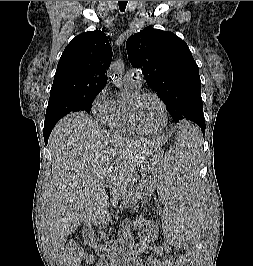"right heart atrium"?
I'll use <instances>...</instances> for the list:
<instances>
[{"mask_svg": "<svg viewBox=\"0 0 253 266\" xmlns=\"http://www.w3.org/2000/svg\"><path fill=\"white\" fill-rule=\"evenodd\" d=\"M113 102L108 96L107 87L102 88L94 97L91 104L92 113L102 122H107Z\"/></svg>", "mask_w": 253, "mask_h": 266, "instance_id": "d8ad5b80", "label": "right heart atrium"}]
</instances>
